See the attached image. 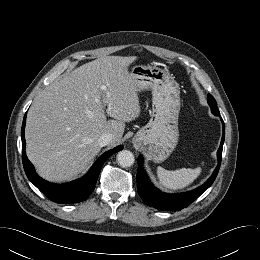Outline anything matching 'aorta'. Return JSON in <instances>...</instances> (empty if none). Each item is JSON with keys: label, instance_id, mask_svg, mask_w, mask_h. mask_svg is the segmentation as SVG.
<instances>
[{"label": "aorta", "instance_id": "1", "mask_svg": "<svg viewBox=\"0 0 260 260\" xmlns=\"http://www.w3.org/2000/svg\"><path fill=\"white\" fill-rule=\"evenodd\" d=\"M135 157L133 153L129 150H122L117 154V163L121 167H130L134 164Z\"/></svg>", "mask_w": 260, "mask_h": 260}]
</instances>
